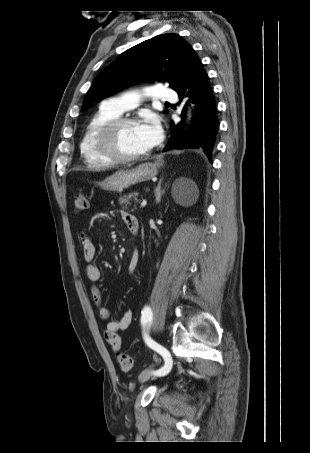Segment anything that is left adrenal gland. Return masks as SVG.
Here are the masks:
<instances>
[{"label":"left adrenal gland","instance_id":"obj_1","mask_svg":"<svg viewBox=\"0 0 310 453\" xmlns=\"http://www.w3.org/2000/svg\"><path fill=\"white\" fill-rule=\"evenodd\" d=\"M161 182L162 178L159 180L157 187L155 188V197H156V203H159L161 200V196L164 194V190H161Z\"/></svg>","mask_w":310,"mask_h":453}]
</instances>
